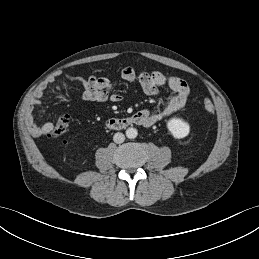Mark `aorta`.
Segmentation results:
<instances>
[{"instance_id":"762f6f07","label":"aorta","mask_w":259,"mask_h":259,"mask_svg":"<svg viewBox=\"0 0 259 259\" xmlns=\"http://www.w3.org/2000/svg\"><path fill=\"white\" fill-rule=\"evenodd\" d=\"M138 135V132H137V129L133 128V127H130L126 130V136L127 138L129 139H134L136 138Z\"/></svg>"}]
</instances>
